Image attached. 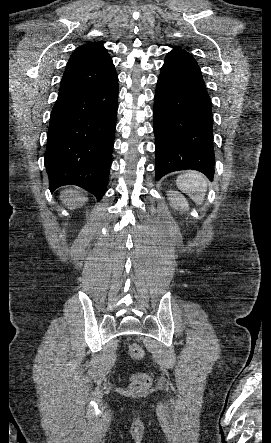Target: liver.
I'll return each mask as SVG.
<instances>
[{"label": "liver", "mask_w": 271, "mask_h": 443, "mask_svg": "<svg viewBox=\"0 0 271 443\" xmlns=\"http://www.w3.org/2000/svg\"><path fill=\"white\" fill-rule=\"evenodd\" d=\"M60 198H62L63 204H66V206H72V208H76V206H84L85 202H87V198H83V196L78 194V192H75V190H64Z\"/></svg>", "instance_id": "1"}]
</instances>
